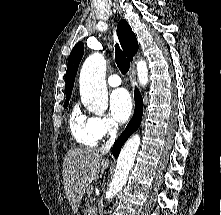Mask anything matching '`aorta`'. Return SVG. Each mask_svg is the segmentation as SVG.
<instances>
[{"instance_id":"aorta-1","label":"aorta","mask_w":221,"mask_h":215,"mask_svg":"<svg viewBox=\"0 0 221 215\" xmlns=\"http://www.w3.org/2000/svg\"><path fill=\"white\" fill-rule=\"evenodd\" d=\"M137 65L138 81L142 86L148 83V67L144 60ZM106 60L100 53L90 55L80 72V95L85 107L92 113L102 115L108 108V93L105 80ZM140 146V136L133 135L124 144L117 159L113 178L106 192L108 200L112 199L125 186L129 172L134 165Z\"/></svg>"}]
</instances>
